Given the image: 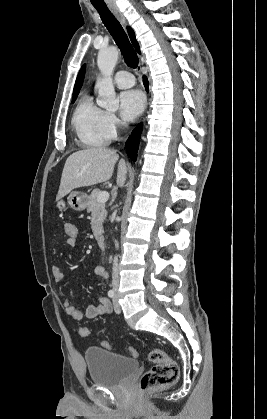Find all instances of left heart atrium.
Masks as SVG:
<instances>
[{
  "label": "left heart atrium",
  "mask_w": 267,
  "mask_h": 419,
  "mask_svg": "<svg viewBox=\"0 0 267 419\" xmlns=\"http://www.w3.org/2000/svg\"><path fill=\"white\" fill-rule=\"evenodd\" d=\"M119 103L121 116L126 120H133L144 109L145 98L139 90H127L119 95Z\"/></svg>",
  "instance_id": "obj_1"
}]
</instances>
